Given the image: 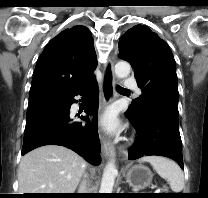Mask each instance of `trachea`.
I'll use <instances>...</instances> for the list:
<instances>
[{"label": "trachea", "mask_w": 208, "mask_h": 198, "mask_svg": "<svg viewBox=\"0 0 208 198\" xmlns=\"http://www.w3.org/2000/svg\"><path fill=\"white\" fill-rule=\"evenodd\" d=\"M118 90H126V89H124L123 87H118Z\"/></svg>", "instance_id": "trachea-1"}]
</instances>
